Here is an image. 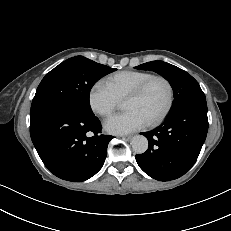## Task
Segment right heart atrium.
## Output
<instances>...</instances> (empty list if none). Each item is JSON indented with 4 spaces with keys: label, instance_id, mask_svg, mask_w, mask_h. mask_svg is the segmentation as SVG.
Masks as SVG:
<instances>
[{
    "label": "right heart atrium",
    "instance_id": "d8ad5b80",
    "mask_svg": "<svg viewBox=\"0 0 231 231\" xmlns=\"http://www.w3.org/2000/svg\"><path fill=\"white\" fill-rule=\"evenodd\" d=\"M120 100L103 82L97 81L88 93V103L91 110L101 117L109 116L119 105Z\"/></svg>",
    "mask_w": 231,
    "mask_h": 231
}]
</instances>
